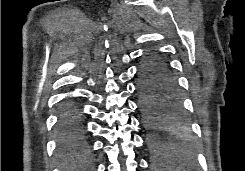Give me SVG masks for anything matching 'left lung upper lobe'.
Segmentation results:
<instances>
[{
    "label": "left lung upper lobe",
    "mask_w": 245,
    "mask_h": 171,
    "mask_svg": "<svg viewBox=\"0 0 245 171\" xmlns=\"http://www.w3.org/2000/svg\"><path fill=\"white\" fill-rule=\"evenodd\" d=\"M153 60V55L152 54H147L144 58L143 61H152Z\"/></svg>",
    "instance_id": "5c2ea615"
}]
</instances>
